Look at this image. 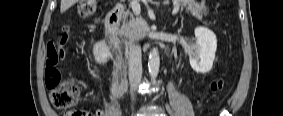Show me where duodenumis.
Listing matches in <instances>:
<instances>
[{
  "label": "duodenum",
  "mask_w": 283,
  "mask_h": 116,
  "mask_svg": "<svg viewBox=\"0 0 283 116\" xmlns=\"http://www.w3.org/2000/svg\"><path fill=\"white\" fill-rule=\"evenodd\" d=\"M124 7L122 5H117L111 9L105 17V31L109 38V45L116 53V59L119 64H123L126 61V54L122 50L120 43L116 35L117 25L122 17ZM125 85L124 81H120L118 86L123 87Z\"/></svg>",
  "instance_id": "410a0bca"
}]
</instances>
